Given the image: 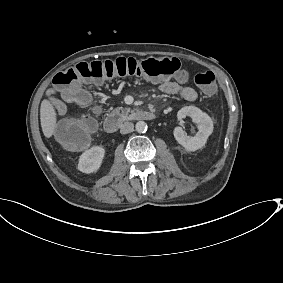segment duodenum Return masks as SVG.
<instances>
[{
  "mask_svg": "<svg viewBox=\"0 0 283 283\" xmlns=\"http://www.w3.org/2000/svg\"><path fill=\"white\" fill-rule=\"evenodd\" d=\"M137 118L140 120H154L156 114L151 111H141L138 113ZM120 126V119L117 115H108L104 119V129L107 133H115Z\"/></svg>",
  "mask_w": 283,
  "mask_h": 283,
  "instance_id": "obj_1",
  "label": "duodenum"
}]
</instances>
